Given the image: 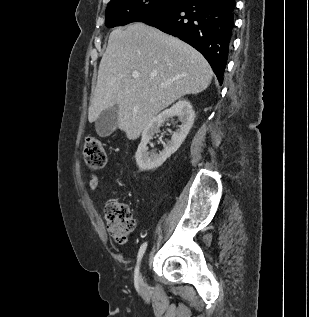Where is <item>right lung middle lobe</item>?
<instances>
[{"label":"right lung middle lobe","instance_id":"1","mask_svg":"<svg viewBox=\"0 0 309 317\" xmlns=\"http://www.w3.org/2000/svg\"><path fill=\"white\" fill-rule=\"evenodd\" d=\"M186 0H111L106 9L105 25L109 28L126 25L137 18L177 6Z\"/></svg>","mask_w":309,"mask_h":317}]
</instances>
